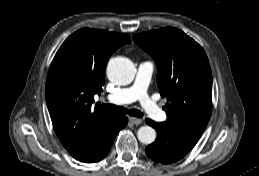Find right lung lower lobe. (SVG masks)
I'll return each mask as SVG.
<instances>
[{
  "mask_svg": "<svg viewBox=\"0 0 259 176\" xmlns=\"http://www.w3.org/2000/svg\"><path fill=\"white\" fill-rule=\"evenodd\" d=\"M127 117L116 115L115 122L82 152L72 155L76 160L85 163L97 162L109 152L117 133L126 126Z\"/></svg>",
  "mask_w": 259,
  "mask_h": 176,
  "instance_id": "obj_1",
  "label": "right lung lower lobe"
}]
</instances>
